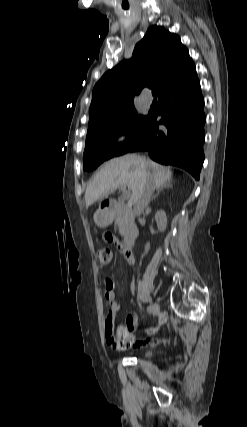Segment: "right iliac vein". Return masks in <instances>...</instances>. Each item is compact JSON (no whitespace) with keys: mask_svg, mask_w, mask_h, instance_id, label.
Returning <instances> with one entry per match:
<instances>
[{"mask_svg":"<svg viewBox=\"0 0 247 427\" xmlns=\"http://www.w3.org/2000/svg\"><path fill=\"white\" fill-rule=\"evenodd\" d=\"M152 307H153L152 313H153L154 316H156L159 313V311H160V307H159V305L157 303H155Z\"/></svg>","mask_w":247,"mask_h":427,"instance_id":"obj_1","label":"right iliac vein"}]
</instances>
